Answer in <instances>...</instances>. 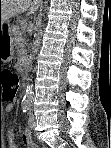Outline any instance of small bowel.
<instances>
[{
  "label": "small bowel",
  "instance_id": "obj_1",
  "mask_svg": "<svg viewBox=\"0 0 111 148\" xmlns=\"http://www.w3.org/2000/svg\"><path fill=\"white\" fill-rule=\"evenodd\" d=\"M14 108V104H8L6 107L7 112H11ZM7 139L9 141V148H17L16 144L13 142L14 141V131L12 129L8 130L7 132ZM24 140L30 147H35L36 145L33 142L32 139V132L30 130H26L24 133Z\"/></svg>",
  "mask_w": 111,
  "mask_h": 148
}]
</instances>
